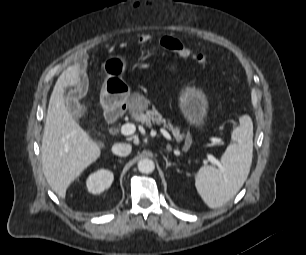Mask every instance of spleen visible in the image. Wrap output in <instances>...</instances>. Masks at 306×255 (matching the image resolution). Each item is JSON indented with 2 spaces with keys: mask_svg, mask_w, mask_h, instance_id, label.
Returning a JSON list of instances; mask_svg holds the SVG:
<instances>
[{
  "mask_svg": "<svg viewBox=\"0 0 306 255\" xmlns=\"http://www.w3.org/2000/svg\"><path fill=\"white\" fill-rule=\"evenodd\" d=\"M228 145L221 157L222 168L203 166L195 176L196 189L210 208L230 201L241 189L250 172L253 157V123L249 115L239 118Z\"/></svg>",
  "mask_w": 306,
  "mask_h": 255,
  "instance_id": "1",
  "label": "spleen"
}]
</instances>
